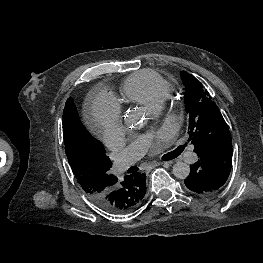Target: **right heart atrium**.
<instances>
[{
  "mask_svg": "<svg viewBox=\"0 0 263 263\" xmlns=\"http://www.w3.org/2000/svg\"><path fill=\"white\" fill-rule=\"evenodd\" d=\"M90 115L104 141H109L121 130L122 109L108 93H98L91 105Z\"/></svg>",
  "mask_w": 263,
  "mask_h": 263,
  "instance_id": "d8ad5b80",
  "label": "right heart atrium"
}]
</instances>
